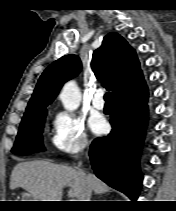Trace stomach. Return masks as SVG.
Returning <instances> with one entry per match:
<instances>
[{"instance_id": "obj_1", "label": "stomach", "mask_w": 176, "mask_h": 211, "mask_svg": "<svg viewBox=\"0 0 176 211\" xmlns=\"http://www.w3.org/2000/svg\"><path fill=\"white\" fill-rule=\"evenodd\" d=\"M23 199H26L24 201H37L36 199H34L31 194H29L28 192L23 193Z\"/></svg>"}]
</instances>
